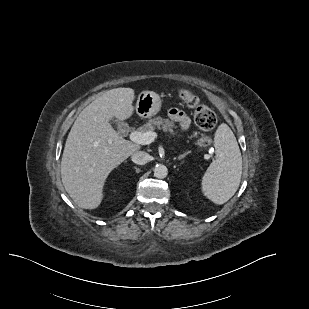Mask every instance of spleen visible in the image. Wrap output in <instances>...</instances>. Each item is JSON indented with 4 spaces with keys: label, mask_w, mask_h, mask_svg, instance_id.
Listing matches in <instances>:
<instances>
[{
    "label": "spleen",
    "mask_w": 309,
    "mask_h": 309,
    "mask_svg": "<svg viewBox=\"0 0 309 309\" xmlns=\"http://www.w3.org/2000/svg\"><path fill=\"white\" fill-rule=\"evenodd\" d=\"M215 159L201 181V190L217 205L226 203L236 193L242 176L241 152L230 127L222 123L215 132Z\"/></svg>",
    "instance_id": "1"
}]
</instances>
